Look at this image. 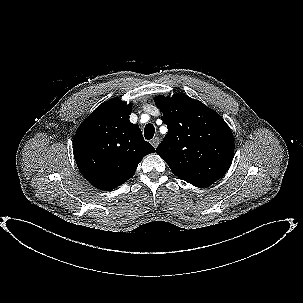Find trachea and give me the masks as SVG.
Returning a JSON list of instances; mask_svg holds the SVG:
<instances>
[{
  "mask_svg": "<svg viewBox=\"0 0 303 303\" xmlns=\"http://www.w3.org/2000/svg\"><path fill=\"white\" fill-rule=\"evenodd\" d=\"M155 133V128L152 124H147L144 128V136L147 140H150L153 138Z\"/></svg>",
  "mask_w": 303,
  "mask_h": 303,
  "instance_id": "1",
  "label": "trachea"
}]
</instances>
